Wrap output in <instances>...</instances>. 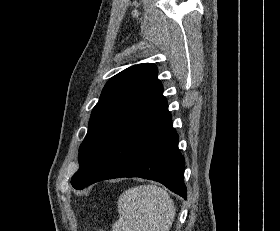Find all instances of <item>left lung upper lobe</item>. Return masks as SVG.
Here are the masks:
<instances>
[{"label":"left lung upper lobe","instance_id":"1","mask_svg":"<svg viewBox=\"0 0 280 231\" xmlns=\"http://www.w3.org/2000/svg\"><path fill=\"white\" fill-rule=\"evenodd\" d=\"M157 72L154 64L142 63L121 71L106 83L79 148L80 168L71 179L74 188L113 137L165 101Z\"/></svg>","mask_w":280,"mask_h":231}]
</instances>
